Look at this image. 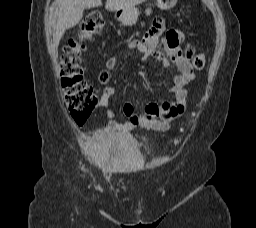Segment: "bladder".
Masks as SVG:
<instances>
[{
  "label": "bladder",
  "mask_w": 256,
  "mask_h": 228,
  "mask_svg": "<svg viewBox=\"0 0 256 228\" xmlns=\"http://www.w3.org/2000/svg\"><path fill=\"white\" fill-rule=\"evenodd\" d=\"M97 157L105 164L117 162L121 166H136L143 162L137 142L128 135L103 133L95 144Z\"/></svg>",
  "instance_id": "obj_1"
}]
</instances>
